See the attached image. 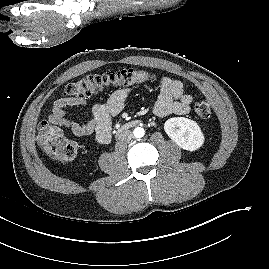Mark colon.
I'll list each match as a JSON object with an SVG mask.
<instances>
[{"label": "colon", "mask_w": 269, "mask_h": 269, "mask_svg": "<svg viewBox=\"0 0 269 269\" xmlns=\"http://www.w3.org/2000/svg\"><path fill=\"white\" fill-rule=\"evenodd\" d=\"M154 80L155 76L147 71L126 68L103 74L82 76L68 83L63 93L67 98L84 99L111 86H125ZM195 113L202 119L209 118L211 115L210 103L200 101L195 106ZM37 140L43 150L57 160L70 161L78 153V144L66 138L61 130L49 120L39 124Z\"/></svg>", "instance_id": "1"}]
</instances>
